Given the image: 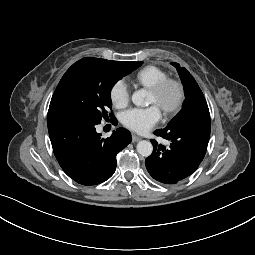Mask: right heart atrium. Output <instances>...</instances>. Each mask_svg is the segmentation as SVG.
Here are the masks:
<instances>
[{"instance_id":"d8ad5b80","label":"right heart atrium","mask_w":255,"mask_h":255,"mask_svg":"<svg viewBox=\"0 0 255 255\" xmlns=\"http://www.w3.org/2000/svg\"><path fill=\"white\" fill-rule=\"evenodd\" d=\"M111 103L116 108H124L130 100V91L124 80H117L109 92Z\"/></svg>"}]
</instances>
